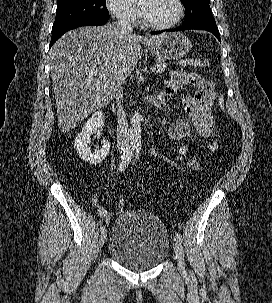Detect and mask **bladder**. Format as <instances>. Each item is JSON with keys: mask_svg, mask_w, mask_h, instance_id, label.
Returning a JSON list of instances; mask_svg holds the SVG:
<instances>
[{"mask_svg": "<svg viewBox=\"0 0 272 303\" xmlns=\"http://www.w3.org/2000/svg\"><path fill=\"white\" fill-rule=\"evenodd\" d=\"M170 240L163 222L143 210H125L113 223L108 245L111 258L131 270H148L162 263Z\"/></svg>", "mask_w": 272, "mask_h": 303, "instance_id": "1", "label": "bladder"}]
</instances>
